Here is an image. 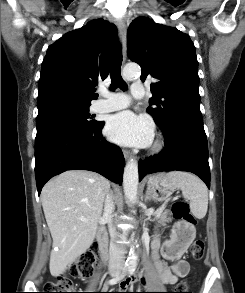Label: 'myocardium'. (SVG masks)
<instances>
[{
    "mask_svg": "<svg viewBox=\"0 0 245 293\" xmlns=\"http://www.w3.org/2000/svg\"><path fill=\"white\" fill-rule=\"evenodd\" d=\"M163 147V143L160 140H156L152 146L153 151H159Z\"/></svg>",
    "mask_w": 245,
    "mask_h": 293,
    "instance_id": "1",
    "label": "myocardium"
}]
</instances>
